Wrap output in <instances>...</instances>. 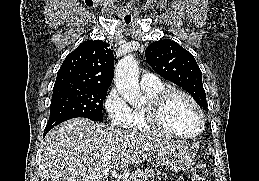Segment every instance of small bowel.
<instances>
[{"instance_id":"obj_1","label":"small bowel","mask_w":259,"mask_h":181,"mask_svg":"<svg viewBox=\"0 0 259 181\" xmlns=\"http://www.w3.org/2000/svg\"><path fill=\"white\" fill-rule=\"evenodd\" d=\"M171 181H179V180H171Z\"/></svg>"}]
</instances>
